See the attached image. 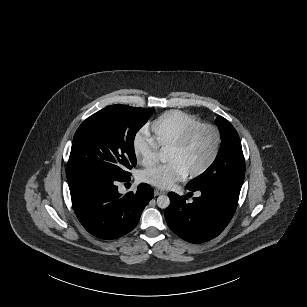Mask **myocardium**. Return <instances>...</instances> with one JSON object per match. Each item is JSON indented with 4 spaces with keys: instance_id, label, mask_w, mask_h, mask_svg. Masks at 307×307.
I'll return each mask as SVG.
<instances>
[{
    "instance_id": "myocardium-1",
    "label": "myocardium",
    "mask_w": 307,
    "mask_h": 307,
    "mask_svg": "<svg viewBox=\"0 0 307 307\" xmlns=\"http://www.w3.org/2000/svg\"><path fill=\"white\" fill-rule=\"evenodd\" d=\"M207 130H211L215 133V135H216V146H215L213 153L209 157V159L203 165H201L196 170L188 173V176L191 177V178L198 177V176L202 175L203 173H205L217 160V158L220 155V152L222 150L223 143H224V136H223L221 129L217 126H214V125L202 126V127L195 129L194 131L188 133L187 135H185L181 139H178L177 141H175V142H173V143H171L170 145L167 146L166 150L182 151L190 143H192L201 133H203L204 131H207Z\"/></svg>"
}]
</instances>
